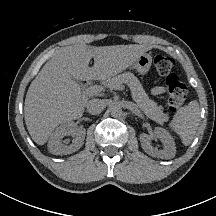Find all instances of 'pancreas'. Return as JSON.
Listing matches in <instances>:
<instances>
[{"mask_svg":"<svg viewBox=\"0 0 216 216\" xmlns=\"http://www.w3.org/2000/svg\"><path fill=\"white\" fill-rule=\"evenodd\" d=\"M123 83H126L130 87L133 100L147 117L159 124H163L168 119L163 113L162 106H157L153 100L149 99L141 83L134 74L127 72L108 78L103 82V85L109 89H116L118 85L121 86Z\"/></svg>","mask_w":216,"mask_h":216,"instance_id":"1","label":"pancreas"}]
</instances>
